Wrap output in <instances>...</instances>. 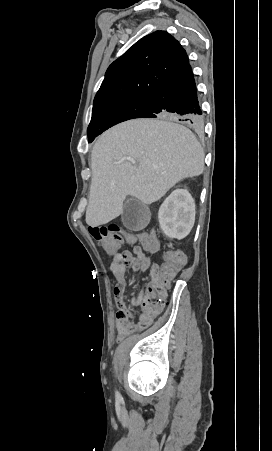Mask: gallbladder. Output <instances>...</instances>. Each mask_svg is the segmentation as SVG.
I'll list each match as a JSON object with an SVG mask.
<instances>
[{"label":"gallbladder","instance_id":"obj_1","mask_svg":"<svg viewBox=\"0 0 272 451\" xmlns=\"http://www.w3.org/2000/svg\"><path fill=\"white\" fill-rule=\"evenodd\" d=\"M150 212L137 198H129L124 204L122 222L128 229H143L149 222Z\"/></svg>","mask_w":272,"mask_h":451}]
</instances>
